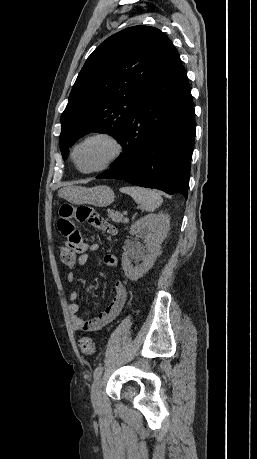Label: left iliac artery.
<instances>
[{"label": "left iliac artery", "mask_w": 257, "mask_h": 459, "mask_svg": "<svg viewBox=\"0 0 257 459\" xmlns=\"http://www.w3.org/2000/svg\"><path fill=\"white\" fill-rule=\"evenodd\" d=\"M102 371H103V367L102 366H98L95 370H94V378L97 379L101 376L102 374Z\"/></svg>", "instance_id": "left-iliac-artery-1"}]
</instances>
